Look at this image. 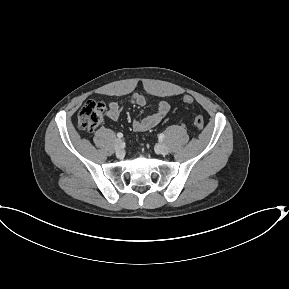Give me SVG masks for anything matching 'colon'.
Here are the masks:
<instances>
[{
    "instance_id": "1",
    "label": "colon",
    "mask_w": 289,
    "mask_h": 289,
    "mask_svg": "<svg viewBox=\"0 0 289 289\" xmlns=\"http://www.w3.org/2000/svg\"><path fill=\"white\" fill-rule=\"evenodd\" d=\"M183 101L185 104H192L193 98L186 95L184 96ZM104 111V103L95 100H87L78 113L77 123L79 129L86 132L93 131L102 122ZM194 125L198 130L203 129L204 119L202 115L195 116Z\"/></svg>"
}]
</instances>
